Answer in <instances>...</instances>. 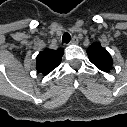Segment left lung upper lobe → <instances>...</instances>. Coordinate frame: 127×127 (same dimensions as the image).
<instances>
[{"mask_svg":"<svg viewBox=\"0 0 127 127\" xmlns=\"http://www.w3.org/2000/svg\"><path fill=\"white\" fill-rule=\"evenodd\" d=\"M89 60L101 71L109 72L113 68V60L109 52L100 43H94L87 49Z\"/></svg>","mask_w":127,"mask_h":127,"instance_id":"5c2ea615","label":"left lung upper lobe"}]
</instances>
